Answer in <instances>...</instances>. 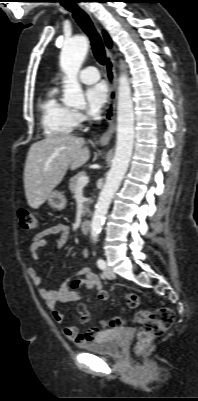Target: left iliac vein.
<instances>
[{
    "mask_svg": "<svg viewBox=\"0 0 198 401\" xmlns=\"http://www.w3.org/2000/svg\"><path fill=\"white\" fill-rule=\"evenodd\" d=\"M103 275H104V277H106V278H108V279H114V278L116 277V276H115V273H114V272L112 271V269L109 268V267H107V268L104 269Z\"/></svg>",
    "mask_w": 198,
    "mask_h": 401,
    "instance_id": "1",
    "label": "left iliac vein"
}]
</instances>
